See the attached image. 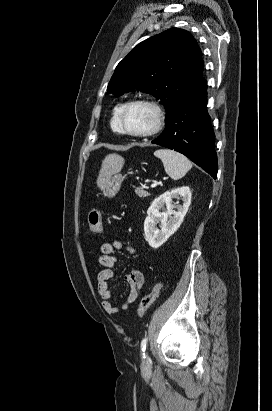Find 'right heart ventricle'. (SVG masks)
Wrapping results in <instances>:
<instances>
[{"label":"right heart ventricle","mask_w":272,"mask_h":411,"mask_svg":"<svg viewBox=\"0 0 272 411\" xmlns=\"http://www.w3.org/2000/svg\"><path fill=\"white\" fill-rule=\"evenodd\" d=\"M124 103H120L118 104L112 112V116L110 119V127L112 129L113 132L120 134V128H119V124H118V116H119V112L121 110V108L123 107Z\"/></svg>","instance_id":"1"}]
</instances>
